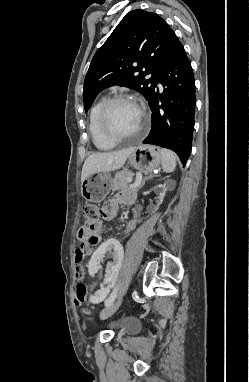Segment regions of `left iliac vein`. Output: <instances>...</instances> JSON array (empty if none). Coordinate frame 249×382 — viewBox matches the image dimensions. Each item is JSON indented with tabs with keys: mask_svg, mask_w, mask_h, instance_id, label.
Returning <instances> with one entry per match:
<instances>
[{
	"mask_svg": "<svg viewBox=\"0 0 249 382\" xmlns=\"http://www.w3.org/2000/svg\"><path fill=\"white\" fill-rule=\"evenodd\" d=\"M121 303H122V299H119L118 301L113 302L112 304L106 306V308H104L100 313L101 319H106L109 316H111L113 313H115L117 309L120 307Z\"/></svg>",
	"mask_w": 249,
	"mask_h": 382,
	"instance_id": "4c4485c4",
	"label": "left iliac vein"
}]
</instances>
